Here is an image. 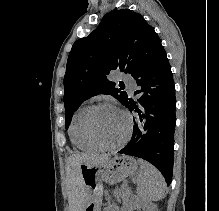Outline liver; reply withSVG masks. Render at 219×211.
<instances>
[{"mask_svg":"<svg viewBox=\"0 0 219 211\" xmlns=\"http://www.w3.org/2000/svg\"><path fill=\"white\" fill-rule=\"evenodd\" d=\"M108 159L107 153L102 155H86V153H72L67 159V179H68V203L70 211H84L86 203L84 185L78 175L80 163H100Z\"/></svg>","mask_w":219,"mask_h":211,"instance_id":"6515ba94","label":"liver"}]
</instances>
